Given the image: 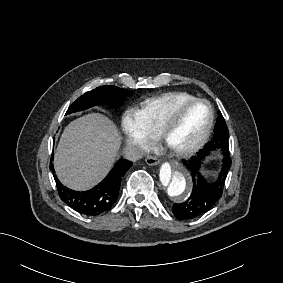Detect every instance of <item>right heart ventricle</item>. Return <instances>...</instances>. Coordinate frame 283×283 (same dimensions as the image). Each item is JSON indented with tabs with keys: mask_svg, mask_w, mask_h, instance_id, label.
<instances>
[{
	"mask_svg": "<svg viewBox=\"0 0 283 283\" xmlns=\"http://www.w3.org/2000/svg\"><path fill=\"white\" fill-rule=\"evenodd\" d=\"M197 98L195 95L188 93V92H183V91H178V92H170L167 93L163 96L156 97V98H151L148 99L144 102H142L137 109L141 116L143 117L148 129L150 130L152 137H157L156 133L158 130V115L162 109V105L165 100H171L167 104L168 105H175L176 102H182V101H187ZM167 108V107H166ZM166 110V109H165Z\"/></svg>",
	"mask_w": 283,
	"mask_h": 283,
	"instance_id": "e07e8e85",
	"label": "right heart ventricle"
}]
</instances>
